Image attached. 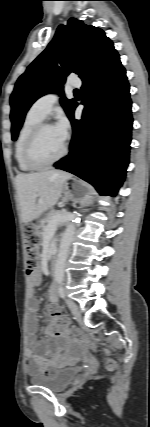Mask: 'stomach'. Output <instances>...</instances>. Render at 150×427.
I'll return each instance as SVG.
<instances>
[{
    "mask_svg": "<svg viewBox=\"0 0 150 427\" xmlns=\"http://www.w3.org/2000/svg\"><path fill=\"white\" fill-rule=\"evenodd\" d=\"M63 194L66 199L81 203H89L93 198L91 188L76 178L64 182Z\"/></svg>",
    "mask_w": 150,
    "mask_h": 427,
    "instance_id": "1",
    "label": "stomach"
}]
</instances>
